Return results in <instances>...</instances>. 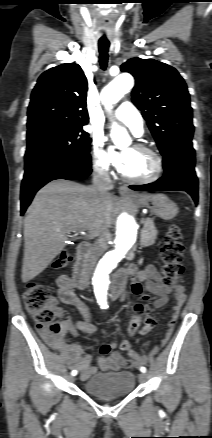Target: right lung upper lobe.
Listing matches in <instances>:
<instances>
[{
	"label": "right lung upper lobe",
	"mask_w": 212,
	"mask_h": 438,
	"mask_svg": "<svg viewBox=\"0 0 212 438\" xmlns=\"http://www.w3.org/2000/svg\"><path fill=\"white\" fill-rule=\"evenodd\" d=\"M87 90V79L78 64L65 63L44 72L31 94L28 130L45 125L83 128L89 120Z\"/></svg>",
	"instance_id": "right-lung-upper-lobe-1"
}]
</instances>
